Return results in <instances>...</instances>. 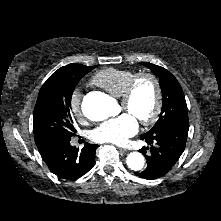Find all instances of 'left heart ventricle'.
Segmentation results:
<instances>
[{
    "label": "left heart ventricle",
    "mask_w": 221,
    "mask_h": 221,
    "mask_svg": "<svg viewBox=\"0 0 221 221\" xmlns=\"http://www.w3.org/2000/svg\"><path fill=\"white\" fill-rule=\"evenodd\" d=\"M155 90L152 82L141 79L137 82L131 101L127 105L120 103V110L133 115L136 119L146 118L153 111Z\"/></svg>",
    "instance_id": "1"
}]
</instances>
